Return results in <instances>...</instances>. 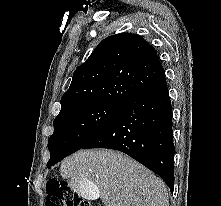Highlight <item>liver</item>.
Listing matches in <instances>:
<instances>
[{
  "label": "liver",
  "mask_w": 221,
  "mask_h": 206,
  "mask_svg": "<svg viewBox=\"0 0 221 206\" xmlns=\"http://www.w3.org/2000/svg\"><path fill=\"white\" fill-rule=\"evenodd\" d=\"M60 173L64 179L94 185L105 206L169 204L164 182L119 151H78L62 162Z\"/></svg>",
  "instance_id": "6515ba94"
}]
</instances>
